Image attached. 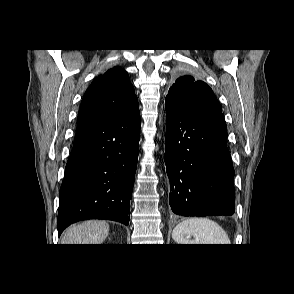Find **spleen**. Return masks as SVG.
<instances>
[{
    "label": "spleen",
    "mask_w": 294,
    "mask_h": 294,
    "mask_svg": "<svg viewBox=\"0 0 294 294\" xmlns=\"http://www.w3.org/2000/svg\"><path fill=\"white\" fill-rule=\"evenodd\" d=\"M172 238L177 244H230L222 227L208 218L185 219L175 226Z\"/></svg>",
    "instance_id": "spleen-1"
}]
</instances>
